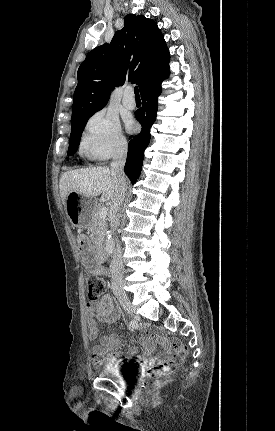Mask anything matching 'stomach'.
<instances>
[{
	"label": "stomach",
	"mask_w": 275,
	"mask_h": 431,
	"mask_svg": "<svg viewBox=\"0 0 275 431\" xmlns=\"http://www.w3.org/2000/svg\"><path fill=\"white\" fill-rule=\"evenodd\" d=\"M95 201L77 192H69L66 198L65 210L71 224L78 228L88 227Z\"/></svg>",
	"instance_id": "stomach-1"
}]
</instances>
